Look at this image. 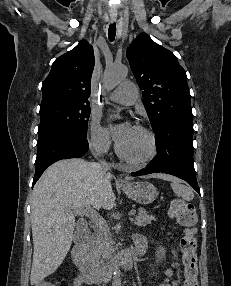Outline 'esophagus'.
<instances>
[{"label":"esophagus","mask_w":231,"mask_h":286,"mask_svg":"<svg viewBox=\"0 0 231 286\" xmlns=\"http://www.w3.org/2000/svg\"><path fill=\"white\" fill-rule=\"evenodd\" d=\"M116 19H117V15H115V14L110 15V21H111V22L116 21ZM118 180H119V183H120L121 185H125V184L128 183V181L126 180V178H125L123 175H120L119 178H118Z\"/></svg>","instance_id":"esophagus-1"}]
</instances>
